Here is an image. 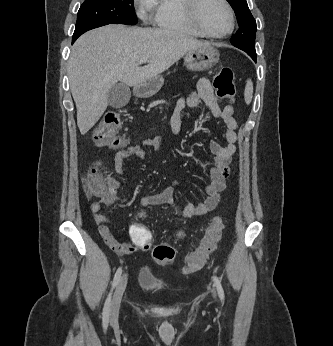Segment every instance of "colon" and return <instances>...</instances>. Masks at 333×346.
Instances as JSON below:
<instances>
[{
	"label": "colon",
	"instance_id": "colon-1",
	"mask_svg": "<svg viewBox=\"0 0 333 346\" xmlns=\"http://www.w3.org/2000/svg\"><path fill=\"white\" fill-rule=\"evenodd\" d=\"M213 87L216 95L232 102L236 95L234 73L231 68L223 67L216 74ZM122 118L121 111L108 112L100 121L93 134V141L102 148H120L125 146L124 139L118 135ZM84 187L88 197L97 200L107 196L109 187L107 179L103 176L101 165L90 168L84 177ZM129 236L142 251H147L151 241V232L145 226H129ZM224 223L220 217H215L207 227L199 246L187 257L184 272L187 274L200 270L207 256L214 251L222 237ZM175 249L166 243L157 244L152 249L154 261L162 266L170 265L175 259Z\"/></svg>",
	"mask_w": 333,
	"mask_h": 346
}]
</instances>
